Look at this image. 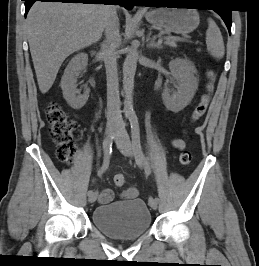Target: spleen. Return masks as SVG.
Wrapping results in <instances>:
<instances>
[{
    "mask_svg": "<svg viewBox=\"0 0 259 266\" xmlns=\"http://www.w3.org/2000/svg\"><path fill=\"white\" fill-rule=\"evenodd\" d=\"M206 44H207V50L210 53V55H212L216 59L223 58L225 54L223 37L221 35L220 29L211 18L208 19V29L206 31Z\"/></svg>",
    "mask_w": 259,
    "mask_h": 266,
    "instance_id": "3e777b00",
    "label": "spleen"
}]
</instances>
